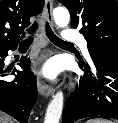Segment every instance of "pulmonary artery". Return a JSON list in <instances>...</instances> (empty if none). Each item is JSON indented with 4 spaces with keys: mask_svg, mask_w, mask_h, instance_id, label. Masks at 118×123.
Segmentation results:
<instances>
[{
    "mask_svg": "<svg viewBox=\"0 0 118 123\" xmlns=\"http://www.w3.org/2000/svg\"><path fill=\"white\" fill-rule=\"evenodd\" d=\"M63 37L66 40L75 41L80 46V48H81L83 54L85 55V57L90 60V54H89V51H88L87 41H86L85 38H83L82 36L77 34L72 29H66L64 31Z\"/></svg>",
    "mask_w": 118,
    "mask_h": 123,
    "instance_id": "pulmonary-artery-1",
    "label": "pulmonary artery"
}]
</instances>
